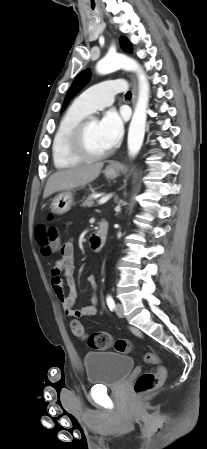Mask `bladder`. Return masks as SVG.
<instances>
[{
  "instance_id": "1",
  "label": "bladder",
  "mask_w": 207,
  "mask_h": 449,
  "mask_svg": "<svg viewBox=\"0 0 207 449\" xmlns=\"http://www.w3.org/2000/svg\"><path fill=\"white\" fill-rule=\"evenodd\" d=\"M83 360L91 386H118L135 367L133 358L110 351L87 352Z\"/></svg>"
}]
</instances>
